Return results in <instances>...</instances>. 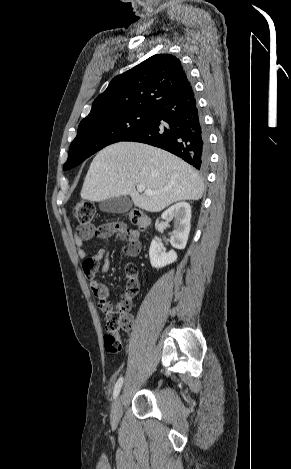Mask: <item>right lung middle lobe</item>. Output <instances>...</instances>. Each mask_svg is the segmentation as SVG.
Segmentation results:
<instances>
[{"label":"right lung middle lobe","mask_w":291,"mask_h":469,"mask_svg":"<svg viewBox=\"0 0 291 469\" xmlns=\"http://www.w3.org/2000/svg\"><path fill=\"white\" fill-rule=\"evenodd\" d=\"M153 110L134 109L104 118L82 120L70 145L64 170L71 169L107 145L122 141L152 117Z\"/></svg>","instance_id":"obj_1"}]
</instances>
